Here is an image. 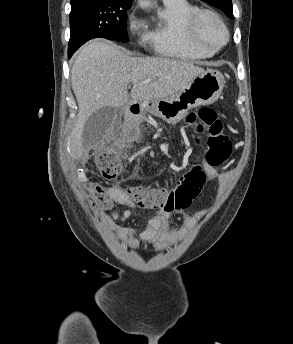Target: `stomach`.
<instances>
[{
    "label": "stomach",
    "mask_w": 293,
    "mask_h": 344,
    "mask_svg": "<svg viewBox=\"0 0 293 344\" xmlns=\"http://www.w3.org/2000/svg\"><path fill=\"white\" fill-rule=\"evenodd\" d=\"M225 79L214 69L204 70L187 88L163 99L139 102L142 113H151L170 124L179 122L191 108L214 103L220 96Z\"/></svg>",
    "instance_id": "obj_1"
}]
</instances>
